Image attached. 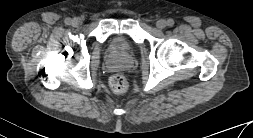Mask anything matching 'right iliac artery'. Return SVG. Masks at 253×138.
I'll use <instances>...</instances> for the list:
<instances>
[{
    "instance_id": "right-iliac-artery-1",
    "label": "right iliac artery",
    "mask_w": 253,
    "mask_h": 138,
    "mask_svg": "<svg viewBox=\"0 0 253 138\" xmlns=\"http://www.w3.org/2000/svg\"><path fill=\"white\" fill-rule=\"evenodd\" d=\"M72 22V20L70 19V18H67L66 20H65V24L67 25V26H70V23Z\"/></svg>"
}]
</instances>
